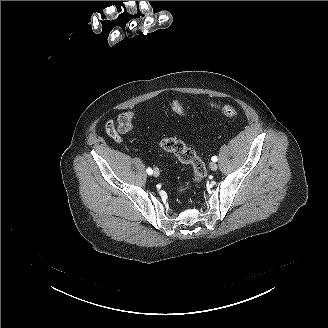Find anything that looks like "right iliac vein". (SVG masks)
Listing matches in <instances>:
<instances>
[{
  "mask_svg": "<svg viewBox=\"0 0 328 328\" xmlns=\"http://www.w3.org/2000/svg\"><path fill=\"white\" fill-rule=\"evenodd\" d=\"M153 175H154L155 177H158V176L160 175V172H159V169H158V168H155V169H154Z\"/></svg>",
  "mask_w": 328,
  "mask_h": 328,
  "instance_id": "63e3f726",
  "label": "right iliac vein"
}]
</instances>
